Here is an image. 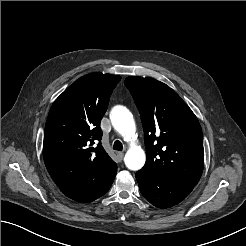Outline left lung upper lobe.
Returning <instances> with one entry per match:
<instances>
[{
  "label": "left lung upper lobe",
  "instance_id": "obj_1",
  "mask_svg": "<svg viewBox=\"0 0 246 246\" xmlns=\"http://www.w3.org/2000/svg\"><path fill=\"white\" fill-rule=\"evenodd\" d=\"M125 85L139 109L145 133L146 163L140 171L195 186L204 166L197 117L160 81L130 76Z\"/></svg>",
  "mask_w": 246,
  "mask_h": 246
}]
</instances>
